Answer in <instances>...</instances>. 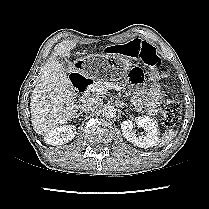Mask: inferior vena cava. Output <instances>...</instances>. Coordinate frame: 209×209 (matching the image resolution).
I'll list each match as a JSON object with an SVG mask.
<instances>
[{"label":"inferior vena cava","instance_id":"602c4592","mask_svg":"<svg viewBox=\"0 0 209 209\" xmlns=\"http://www.w3.org/2000/svg\"><path fill=\"white\" fill-rule=\"evenodd\" d=\"M99 102L97 99L89 97L82 101L81 109L84 112H93L98 108Z\"/></svg>","mask_w":209,"mask_h":209}]
</instances>
